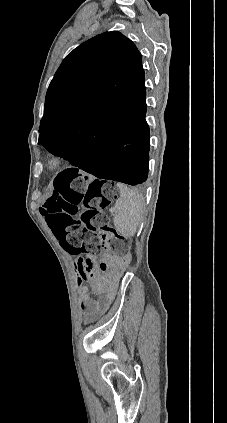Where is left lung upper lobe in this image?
Segmentation results:
<instances>
[{"instance_id": "left-lung-upper-lobe-1", "label": "left lung upper lobe", "mask_w": 227, "mask_h": 423, "mask_svg": "<svg viewBox=\"0 0 227 423\" xmlns=\"http://www.w3.org/2000/svg\"><path fill=\"white\" fill-rule=\"evenodd\" d=\"M144 70L134 43L105 32L75 48L62 61L45 98L38 144L82 135L108 112L146 110Z\"/></svg>"}]
</instances>
